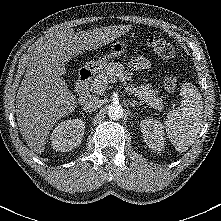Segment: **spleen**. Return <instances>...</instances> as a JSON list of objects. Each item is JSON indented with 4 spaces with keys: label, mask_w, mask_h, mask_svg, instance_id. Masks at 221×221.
<instances>
[{
    "label": "spleen",
    "mask_w": 221,
    "mask_h": 221,
    "mask_svg": "<svg viewBox=\"0 0 221 221\" xmlns=\"http://www.w3.org/2000/svg\"><path fill=\"white\" fill-rule=\"evenodd\" d=\"M181 105L169 112L165 121L167 136L179 153L187 151L202 125L203 101L192 83H184L180 90Z\"/></svg>",
    "instance_id": "obj_1"
}]
</instances>
